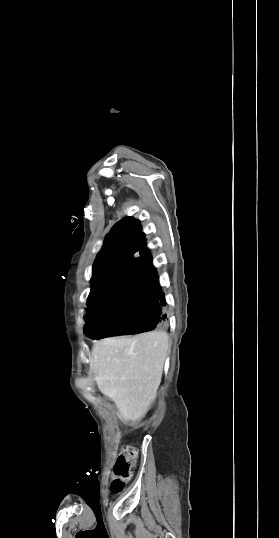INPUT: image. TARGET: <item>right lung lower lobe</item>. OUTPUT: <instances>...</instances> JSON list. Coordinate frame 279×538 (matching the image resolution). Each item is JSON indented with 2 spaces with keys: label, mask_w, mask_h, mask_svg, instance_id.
<instances>
[{
  "label": "right lung lower lobe",
  "mask_w": 279,
  "mask_h": 538,
  "mask_svg": "<svg viewBox=\"0 0 279 538\" xmlns=\"http://www.w3.org/2000/svg\"><path fill=\"white\" fill-rule=\"evenodd\" d=\"M146 240L141 222L133 217L117 222L105 236L93 265L87 300L88 337L101 339L167 327L166 300Z\"/></svg>",
  "instance_id": "obj_1"
}]
</instances>
